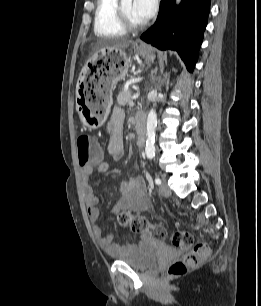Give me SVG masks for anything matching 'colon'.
Returning <instances> with one entry per match:
<instances>
[{
  "mask_svg": "<svg viewBox=\"0 0 261 306\" xmlns=\"http://www.w3.org/2000/svg\"><path fill=\"white\" fill-rule=\"evenodd\" d=\"M77 151L79 164L82 167L99 162L103 156L101 146L94 142L88 134H82L78 137ZM117 219L121 226L129 228L135 233L149 235L156 240H165L170 237L175 248L190 249L182 258L174 260L170 264L169 274L171 276L183 275L189 269L206 261L209 256V248L206 245L200 244L192 247L194 239L189 231L178 230L170 235L163 226L152 223L143 216H134L127 212H120Z\"/></svg>",
  "mask_w": 261,
  "mask_h": 306,
  "instance_id": "obj_1",
  "label": "colon"
}]
</instances>
